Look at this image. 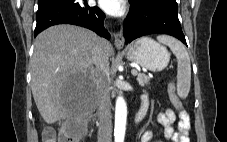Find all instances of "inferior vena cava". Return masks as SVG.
<instances>
[{
	"mask_svg": "<svg viewBox=\"0 0 227 142\" xmlns=\"http://www.w3.org/2000/svg\"><path fill=\"white\" fill-rule=\"evenodd\" d=\"M93 63L96 66L94 71L95 82L99 87L101 100L99 104V126H98V142L112 141V121L109 98L105 91L106 80L109 72L108 56L99 43L93 47L92 53Z\"/></svg>",
	"mask_w": 227,
	"mask_h": 142,
	"instance_id": "1",
	"label": "inferior vena cava"
}]
</instances>
